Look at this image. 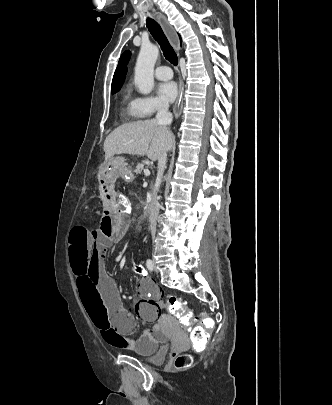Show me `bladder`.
Wrapping results in <instances>:
<instances>
[{
	"mask_svg": "<svg viewBox=\"0 0 332 405\" xmlns=\"http://www.w3.org/2000/svg\"><path fill=\"white\" fill-rule=\"evenodd\" d=\"M167 336L162 334V341L159 343L153 344V348L151 351H144V350H134L133 353L141 356V357H147L149 361H151L154 364H161L165 361L166 359V354H167Z\"/></svg>",
	"mask_w": 332,
	"mask_h": 405,
	"instance_id": "obj_1",
	"label": "bladder"
}]
</instances>
